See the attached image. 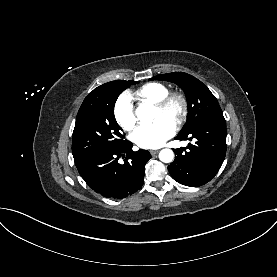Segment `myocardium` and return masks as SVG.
<instances>
[{
    "mask_svg": "<svg viewBox=\"0 0 277 277\" xmlns=\"http://www.w3.org/2000/svg\"><path fill=\"white\" fill-rule=\"evenodd\" d=\"M155 108L162 113H168L174 106H177V112L174 116V123L183 124L189 113V103L187 97L181 92L168 93L164 98L154 104Z\"/></svg>",
    "mask_w": 277,
    "mask_h": 277,
    "instance_id": "myocardium-1",
    "label": "myocardium"
}]
</instances>
